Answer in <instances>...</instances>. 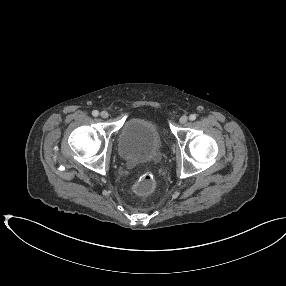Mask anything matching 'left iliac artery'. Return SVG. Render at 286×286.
<instances>
[{"label": "left iliac artery", "instance_id": "44dca946", "mask_svg": "<svg viewBox=\"0 0 286 286\" xmlns=\"http://www.w3.org/2000/svg\"><path fill=\"white\" fill-rule=\"evenodd\" d=\"M189 119H190L191 121H194V120L196 119V115H195V114H191V115L189 116Z\"/></svg>", "mask_w": 286, "mask_h": 286}]
</instances>
